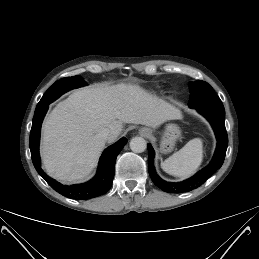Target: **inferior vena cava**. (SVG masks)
Listing matches in <instances>:
<instances>
[{
  "label": "inferior vena cava",
  "instance_id": "602c4592",
  "mask_svg": "<svg viewBox=\"0 0 259 259\" xmlns=\"http://www.w3.org/2000/svg\"><path fill=\"white\" fill-rule=\"evenodd\" d=\"M97 136H98V138L107 141L109 139V137H110V130L109 129H104Z\"/></svg>",
  "mask_w": 259,
  "mask_h": 259
}]
</instances>
